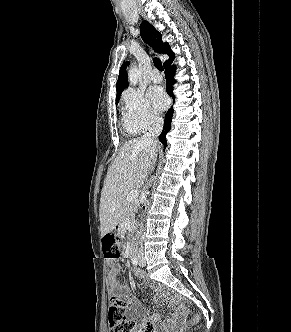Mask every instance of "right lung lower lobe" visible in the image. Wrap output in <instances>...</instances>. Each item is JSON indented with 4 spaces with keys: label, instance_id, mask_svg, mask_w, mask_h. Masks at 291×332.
Here are the masks:
<instances>
[{
    "label": "right lung lower lobe",
    "instance_id": "1",
    "mask_svg": "<svg viewBox=\"0 0 291 332\" xmlns=\"http://www.w3.org/2000/svg\"><path fill=\"white\" fill-rule=\"evenodd\" d=\"M171 62L172 61L165 64L164 68H165V76H166V91L174 99L172 85L175 83V80H174L173 76H174L176 67L174 65L171 66ZM173 112H174V110H173L172 107L167 111V113L165 115L163 131L159 136L160 142L165 147L167 146L166 134L171 129V120H172Z\"/></svg>",
    "mask_w": 291,
    "mask_h": 332
}]
</instances>
